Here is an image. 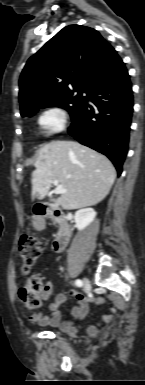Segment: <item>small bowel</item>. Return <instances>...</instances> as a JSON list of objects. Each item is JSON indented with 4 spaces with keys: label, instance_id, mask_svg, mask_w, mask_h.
Listing matches in <instances>:
<instances>
[{
    "label": "small bowel",
    "instance_id": "obj_1",
    "mask_svg": "<svg viewBox=\"0 0 145 385\" xmlns=\"http://www.w3.org/2000/svg\"><path fill=\"white\" fill-rule=\"evenodd\" d=\"M53 286L50 282H47L42 293L44 300H48L52 294ZM69 297H74L76 299V304L72 308V317L66 320H62L61 312L59 306L67 301ZM106 301L102 297L90 296L85 297L80 293H77L73 290L60 292L55 296L53 302L49 303L47 306L48 313H34L29 316V320L32 323L39 324L41 326H51L58 328L61 332L69 335L75 336L79 327L77 326V321H80L85 318L87 314L88 304L93 303L95 305H102ZM112 321V316L105 315L102 317V320L96 323H91L86 327V335L89 338H95L98 334V326L104 322L109 323Z\"/></svg>",
    "mask_w": 145,
    "mask_h": 385
}]
</instances>
